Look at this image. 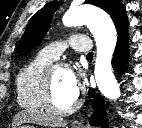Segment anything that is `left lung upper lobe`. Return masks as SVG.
<instances>
[{"label":"left lung upper lobe","mask_w":142,"mask_h":128,"mask_svg":"<svg viewBox=\"0 0 142 128\" xmlns=\"http://www.w3.org/2000/svg\"><path fill=\"white\" fill-rule=\"evenodd\" d=\"M85 3L105 10L114 21L117 31L128 25L125 7L119 0H86ZM58 6L59 2L47 3L30 19L17 49L19 55L30 52L44 38Z\"/></svg>","instance_id":"1"}]
</instances>
